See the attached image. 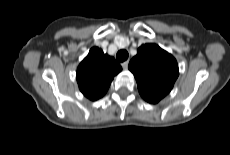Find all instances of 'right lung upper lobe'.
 Listing matches in <instances>:
<instances>
[{"label":"right lung upper lobe","mask_w":230,"mask_h":155,"mask_svg":"<svg viewBox=\"0 0 230 155\" xmlns=\"http://www.w3.org/2000/svg\"><path fill=\"white\" fill-rule=\"evenodd\" d=\"M122 70L115 59L93 47L77 68L80 91L95 101L105 95L113 78Z\"/></svg>","instance_id":"cb5924a9"}]
</instances>
